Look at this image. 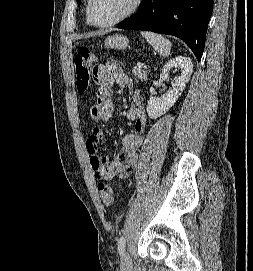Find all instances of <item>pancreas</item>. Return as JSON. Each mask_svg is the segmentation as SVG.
I'll return each mask as SVG.
<instances>
[{
	"label": "pancreas",
	"instance_id": "cf45deb5",
	"mask_svg": "<svg viewBox=\"0 0 253 271\" xmlns=\"http://www.w3.org/2000/svg\"><path fill=\"white\" fill-rule=\"evenodd\" d=\"M133 75L137 76L140 80H145L147 78L146 70L135 66L132 70Z\"/></svg>",
	"mask_w": 253,
	"mask_h": 271
}]
</instances>
